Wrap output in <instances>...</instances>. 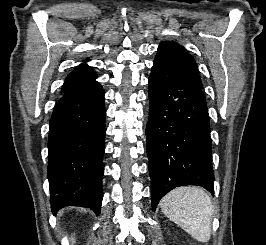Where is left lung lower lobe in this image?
<instances>
[{"label":"left lung lower lobe","mask_w":266,"mask_h":245,"mask_svg":"<svg viewBox=\"0 0 266 245\" xmlns=\"http://www.w3.org/2000/svg\"><path fill=\"white\" fill-rule=\"evenodd\" d=\"M146 127L152 209L179 186L214 195L210 120L202 86L170 63L155 59L148 80Z\"/></svg>","instance_id":"1"}]
</instances>
